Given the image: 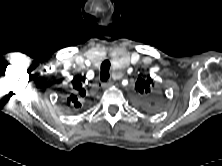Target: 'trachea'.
<instances>
[{
  "label": "trachea",
  "mask_w": 222,
  "mask_h": 166,
  "mask_svg": "<svg viewBox=\"0 0 222 166\" xmlns=\"http://www.w3.org/2000/svg\"><path fill=\"white\" fill-rule=\"evenodd\" d=\"M109 68H110V61L109 60H105L102 64H101V72H100V79L103 82H107L110 75H109Z\"/></svg>",
  "instance_id": "trachea-1"
}]
</instances>
